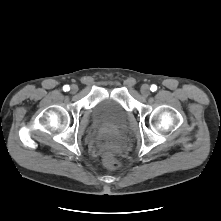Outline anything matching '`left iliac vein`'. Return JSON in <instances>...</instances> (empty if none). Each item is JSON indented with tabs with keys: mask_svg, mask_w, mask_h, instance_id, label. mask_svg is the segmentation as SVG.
<instances>
[{
	"mask_svg": "<svg viewBox=\"0 0 221 221\" xmlns=\"http://www.w3.org/2000/svg\"><path fill=\"white\" fill-rule=\"evenodd\" d=\"M140 91L144 97H148L150 95L149 85H147V84L142 85Z\"/></svg>",
	"mask_w": 221,
	"mask_h": 221,
	"instance_id": "4c4485c4",
	"label": "left iliac vein"
}]
</instances>
